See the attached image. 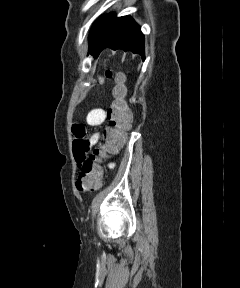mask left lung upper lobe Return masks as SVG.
Instances as JSON below:
<instances>
[{
    "instance_id": "obj_1",
    "label": "left lung upper lobe",
    "mask_w": 240,
    "mask_h": 288,
    "mask_svg": "<svg viewBox=\"0 0 240 288\" xmlns=\"http://www.w3.org/2000/svg\"><path fill=\"white\" fill-rule=\"evenodd\" d=\"M100 19H101V18H100ZM100 19H99L98 21H96V23L94 24V26H93V28H92V30H91V33H90V35L92 34V32L94 31V29H95V28H96V26L98 25V23H99Z\"/></svg>"
}]
</instances>
